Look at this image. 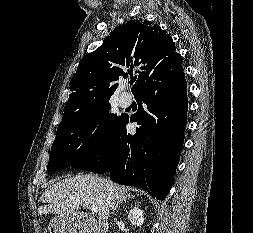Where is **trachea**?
<instances>
[{"instance_id": "1", "label": "trachea", "mask_w": 253, "mask_h": 233, "mask_svg": "<svg viewBox=\"0 0 253 233\" xmlns=\"http://www.w3.org/2000/svg\"><path fill=\"white\" fill-rule=\"evenodd\" d=\"M130 85H133V81H130Z\"/></svg>"}]
</instances>
